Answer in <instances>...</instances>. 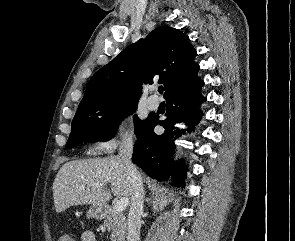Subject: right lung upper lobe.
I'll return each instance as SVG.
<instances>
[{
	"instance_id": "cb5924a9",
	"label": "right lung upper lobe",
	"mask_w": 295,
	"mask_h": 241,
	"mask_svg": "<svg viewBox=\"0 0 295 241\" xmlns=\"http://www.w3.org/2000/svg\"><path fill=\"white\" fill-rule=\"evenodd\" d=\"M189 37L168 26L129 45L90 79L80 106L105 101H138L141 83L158 80L169 94L196 83L200 67Z\"/></svg>"
}]
</instances>
